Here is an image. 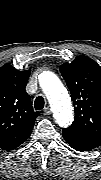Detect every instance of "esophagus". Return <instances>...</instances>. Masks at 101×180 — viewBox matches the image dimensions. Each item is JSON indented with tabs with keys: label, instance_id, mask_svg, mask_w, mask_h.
<instances>
[{
	"label": "esophagus",
	"instance_id": "1",
	"mask_svg": "<svg viewBox=\"0 0 101 180\" xmlns=\"http://www.w3.org/2000/svg\"><path fill=\"white\" fill-rule=\"evenodd\" d=\"M43 114L44 115H50L51 114V110L48 106L43 110Z\"/></svg>",
	"mask_w": 101,
	"mask_h": 180
}]
</instances>
